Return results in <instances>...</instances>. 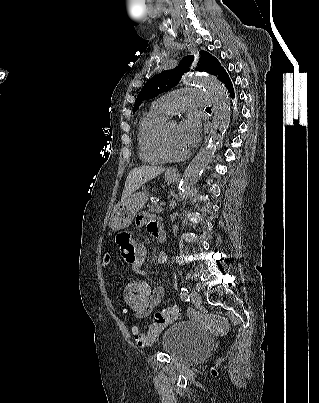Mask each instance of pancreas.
Returning a JSON list of instances; mask_svg holds the SVG:
<instances>
[{
	"mask_svg": "<svg viewBox=\"0 0 319 403\" xmlns=\"http://www.w3.org/2000/svg\"><path fill=\"white\" fill-rule=\"evenodd\" d=\"M148 209L151 212L162 213L163 208L158 202H151V205H148Z\"/></svg>",
	"mask_w": 319,
	"mask_h": 403,
	"instance_id": "cf45deb5",
	"label": "pancreas"
}]
</instances>
